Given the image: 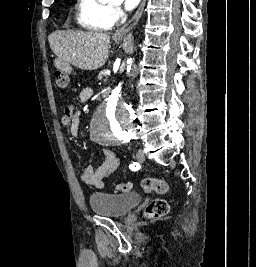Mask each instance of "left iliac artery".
<instances>
[{"label": "left iliac artery", "mask_w": 256, "mask_h": 267, "mask_svg": "<svg viewBox=\"0 0 256 267\" xmlns=\"http://www.w3.org/2000/svg\"><path fill=\"white\" fill-rule=\"evenodd\" d=\"M139 164L137 163V162H134L133 164H130L129 165V168L131 169V170H138L139 169Z\"/></svg>", "instance_id": "left-iliac-artery-1"}]
</instances>
